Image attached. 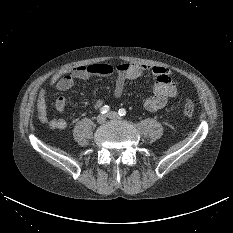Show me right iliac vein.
I'll use <instances>...</instances> for the list:
<instances>
[{
    "mask_svg": "<svg viewBox=\"0 0 233 233\" xmlns=\"http://www.w3.org/2000/svg\"><path fill=\"white\" fill-rule=\"evenodd\" d=\"M105 121H106V116H105V115L100 114V115L97 117V122H98L99 124H102V123H104Z\"/></svg>",
    "mask_w": 233,
    "mask_h": 233,
    "instance_id": "obj_1",
    "label": "right iliac vein"
}]
</instances>
